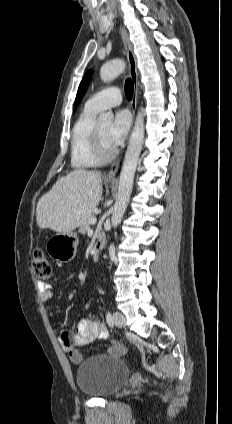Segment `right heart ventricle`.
<instances>
[{"instance_id": "right-heart-ventricle-1", "label": "right heart ventricle", "mask_w": 232, "mask_h": 424, "mask_svg": "<svg viewBox=\"0 0 232 424\" xmlns=\"http://www.w3.org/2000/svg\"><path fill=\"white\" fill-rule=\"evenodd\" d=\"M96 111L84 108L74 124L71 138V166L82 170L99 166L94 157L92 139L95 127Z\"/></svg>"}]
</instances>
